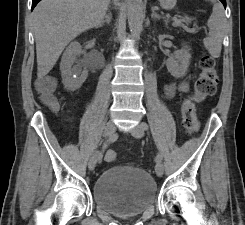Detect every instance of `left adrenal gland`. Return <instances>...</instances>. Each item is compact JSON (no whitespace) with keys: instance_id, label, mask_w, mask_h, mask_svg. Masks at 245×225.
I'll use <instances>...</instances> for the list:
<instances>
[{"instance_id":"1","label":"left adrenal gland","mask_w":245,"mask_h":225,"mask_svg":"<svg viewBox=\"0 0 245 225\" xmlns=\"http://www.w3.org/2000/svg\"><path fill=\"white\" fill-rule=\"evenodd\" d=\"M151 18H152V19H158V20H159V19H164V21L167 22V20H166L164 17L158 15V14L155 12V8H154V7L152 8Z\"/></svg>"}]
</instances>
